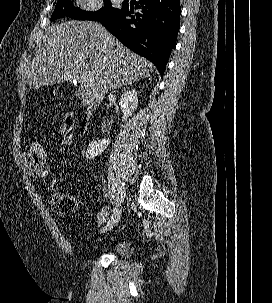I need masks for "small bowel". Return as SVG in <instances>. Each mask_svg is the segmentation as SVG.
I'll return each instance as SVG.
<instances>
[{
    "label": "small bowel",
    "mask_w": 272,
    "mask_h": 303,
    "mask_svg": "<svg viewBox=\"0 0 272 303\" xmlns=\"http://www.w3.org/2000/svg\"><path fill=\"white\" fill-rule=\"evenodd\" d=\"M22 161L24 169L29 176L39 179H46L49 176V171L41 174L33 168L30 147L22 154Z\"/></svg>",
    "instance_id": "1"
}]
</instances>
